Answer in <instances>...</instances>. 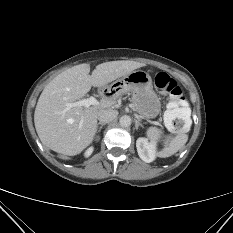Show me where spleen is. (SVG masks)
Here are the masks:
<instances>
[{
    "label": "spleen",
    "mask_w": 233,
    "mask_h": 233,
    "mask_svg": "<svg viewBox=\"0 0 233 233\" xmlns=\"http://www.w3.org/2000/svg\"><path fill=\"white\" fill-rule=\"evenodd\" d=\"M191 116V110L188 107L187 103H183V107H178L176 103H169L168 109L164 113V121L167 125H172V121L176 118L182 119L185 122V128H190V125L192 123V120L190 118ZM160 131L155 127H150L146 131L147 137L151 141H158L161 138ZM188 136L185 133H182L174 138L167 137L166 141L164 142L165 148L159 153L160 157H169L178 150L181 149V147L184 146V144L187 142Z\"/></svg>",
    "instance_id": "spleen-1"
}]
</instances>
